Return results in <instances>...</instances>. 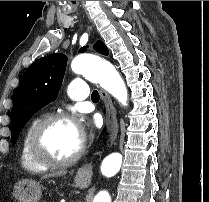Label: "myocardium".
<instances>
[{
	"mask_svg": "<svg viewBox=\"0 0 209 202\" xmlns=\"http://www.w3.org/2000/svg\"><path fill=\"white\" fill-rule=\"evenodd\" d=\"M60 121H68L76 123L74 116L67 113H55L47 115L40 119L34 126L28 144L29 154L32 159L43 168H64L77 162L85 152V142L82 140L78 151L64 160H54L49 158L42 150L40 145L41 136L44 131L53 123Z\"/></svg>",
	"mask_w": 209,
	"mask_h": 202,
	"instance_id": "1",
	"label": "myocardium"
}]
</instances>
